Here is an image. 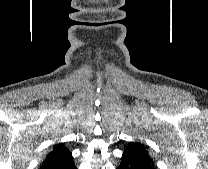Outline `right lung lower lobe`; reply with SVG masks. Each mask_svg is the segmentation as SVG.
Returning a JSON list of instances; mask_svg holds the SVG:
<instances>
[{
	"mask_svg": "<svg viewBox=\"0 0 208 169\" xmlns=\"http://www.w3.org/2000/svg\"><path fill=\"white\" fill-rule=\"evenodd\" d=\"M51 169H77L76 166L74 165L73 159H69L61 164H58Z\"/></svg>",
	"mask_w": 208,
	"mask_h": 169,
	"instance_id": "98d812e1",
	"label": "right lung lower lobe"
}]
</instances>
